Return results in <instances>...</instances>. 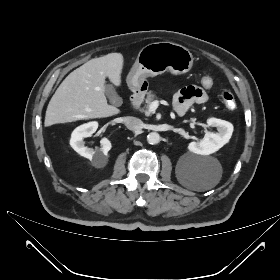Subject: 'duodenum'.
Segmentation results:
<instances>
[{"label": "duodenum", "instance_id": "1", "mask_svg": "<svg viewBox=\"0 0 280 280\" xmlns=\"http://www.w3.org/2000/svg\"><path fill=\"white\" fill-rule=\"evenodd\" d=\"M145 94V88L140 83H137L134 87L131 97V106L136 109L140 106Z\"/></svg>", "mask_w": 280, "mask_h": 280}]
</instances>
